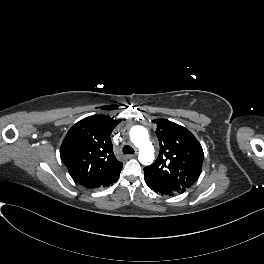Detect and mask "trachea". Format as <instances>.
Wrapping results in <instances>:
<instances>
[{
    "instance_id": "1",
    "label": "trachea",
    "mask_w": 264,
    "mask_h": 264,
    "mask_svg": "<svg viewBox=\"0 0 264 264\" xmlns=\"http://www.w3.org/2000/svg\"><path fill=\"white\" fill-rule=\"evenodd\" d=\"M123 153L124 154H133L134 153V149L132 147H130L129 145H125L123 147Z\"/></svg>"
}]
</instances>
